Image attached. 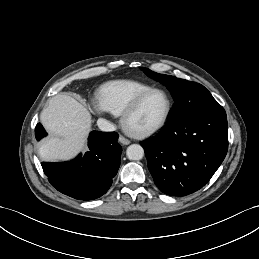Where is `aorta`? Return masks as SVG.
<instances>
[{
    "label": "aorta",
    "mask_w": 259,
    "mask_h": 259,
    "mask_svg": "<svg viewBox=\"0 0 259 259\" xmlns=\"http://www.w3.org/2000/svg\"><path fill=\"white\" fill-rule=\"evenodd\" d=\"M129 160H141L144 157V149L139 144H132L126 150Z\"/></svg>",
    "instance_id": "obj_1"
}]
</instances>
